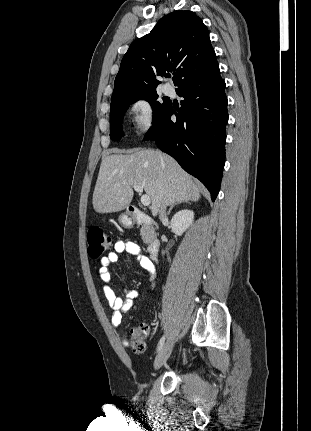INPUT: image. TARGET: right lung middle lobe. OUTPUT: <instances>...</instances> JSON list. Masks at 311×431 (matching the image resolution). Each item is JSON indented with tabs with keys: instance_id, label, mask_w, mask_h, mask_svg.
Segmentation results:
<instances>
[{
	"instance_id": "obj_1",
	"label": "right lung middle lobe",
	"mask_w": 311,
	"mask_h": 431,
	"mask_svg": "<svg viewBox=\"0 0 311 431\" xmlns=\"http://www.w3.org/2000/svg\"><path fill=\"white\" fill-rule=\"evenodd\" d=\"M140 99L147 100L151 104L153 110V120L159 117L162 113H164L171 105V101H164L162 103L157 101L158 94L156 90L111 99L110 138L112 140H119L122 137L123 131L121 123L123 120L124 113L126 112L130 104Z\"/></svg>"
}]
</instances>
